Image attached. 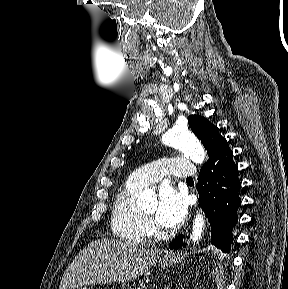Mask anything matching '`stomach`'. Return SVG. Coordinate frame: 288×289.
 <instances>
[{"label": "stomach", "instance_id": "0dacf381", "mask_svg": "<svg viewBox=\"0 0 288 289\" xmlns=\"http://www.w3.org/2000/svg\"><path fill=\"white\" fill-rule=\"evenodd\" d=\"M171 261L168 260V258H163L159 261V266L161 269H166L169 265H170ZM80 289H90V288H87V287H83V288H80Z\"/></svg>", "mask_w": 288, "mask_h": 289}]
</instances>
